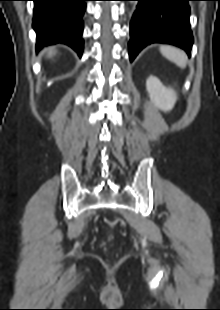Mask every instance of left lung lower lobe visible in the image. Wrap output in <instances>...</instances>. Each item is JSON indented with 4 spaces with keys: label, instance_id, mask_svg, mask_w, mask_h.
I'll use <instances>...</instances> for the list:
<instances>
[{
    "label": "left lung lower lobe",
    "instance_id": "1",
    "mask_svg": "<svg viewBox=\"0 0 220 310\" xmlns=\"http://www.w3.org/2000/svg\"><path fill=\"white\" fill-rule=\"evenodd\" d=\"M127 1H138L130 23V61L152 43L176 45L190 56L193 35L189 23L188 1L192 0Z\"/></svg>",
    "mask_w": 220,
    "mask_h": 310
}]
</instances>
